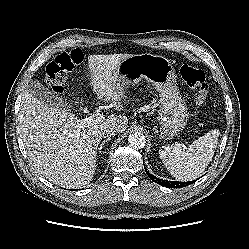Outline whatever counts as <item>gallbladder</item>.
<instances>
[{
	"label": "gallbladder",
	"mask_w": 249,
	"mask_h": 249,
	"mask_svg": "<svg viewBox=\"0 0 249 249\" xmlns=\"http://www.w3.org/2000/svg\"><path fill=\"white\" fill-rule=\"evenodd\" d=\"M26 90L31 95L49 106L70 111V107L67 102L55 96L45 85L41 84L38 81H31L27 85Z\"/></svg>",
	"instance_id": "bac80fb5"
}]
</instances>
